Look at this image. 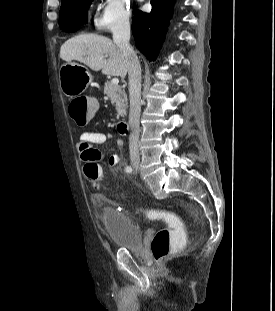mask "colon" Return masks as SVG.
Segmentation results:
<instances>
[{
  "label": "colon",
  "instance_id": "obj_1",
  "mask_svg": "<svg viewBox=\"0 0 275 311\" xmlns=\"http://www.w3.org/2000/svg\"><path fill=\"white\" fill-rule=\"evenodd\" d=\"M99 103V97L74 99L70 103V110L76 125H89V121H94L95 117H99ZM84 173L87 181L94 189H97L102 175L100 166L95 162H90L85 165ZM147 214L149 217L160 219L167 224V227L156 232L151 241V251L154 258L161 261L171 253L180 251L186 243L180 218L170 211H147Z\"/></svg>",
  "mask_w": 275,
  "mask_h": 311
}]
</instances>
